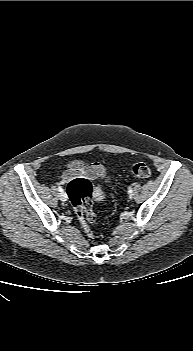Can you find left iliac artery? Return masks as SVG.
Wrapping results in <instances>:
<instances>
[{
    "instance_id": "44dca946",
    "label": "left iliac artery",
    "mask_w": 193,
    "mask_h": 351,
    "mask_svg": "<svg viewBox=\"0 0 193 351\" xmlns=\"http://www.w3.org/2000/svg\"><path fill=\"white\" fill-rule=\"evenodd\" d=\"M132 192H133V189L130 187V188L128 189V193L131 194Z\"/></svg>"
}]
</instances>
